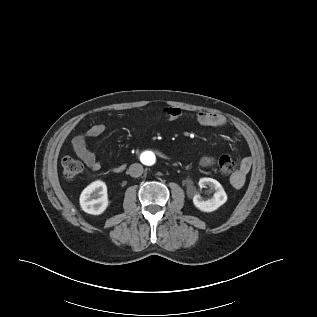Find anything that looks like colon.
<instances>
[{"label":"colon","instance_id":"colon-1","mask_svg":"<svg viewBox=\"0 0 317 317\" xmlns=\"http://www.w3.org/2000/svg\"><path fill=\"white\" fill-rule=\"evenodd\" d=\"M63 175L67 179L77 177L83 170V165L80 161L67 156L62 159ZM236 162L228 155L221 156L217 161V167L222 175H229L236 170Z\"/></svg>","mask_w":317,"mask_h":317}]
</instances>
